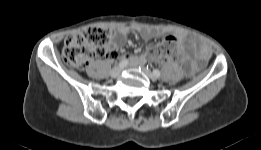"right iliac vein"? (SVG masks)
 <instances>
[{"instance_id":"63e3f726","label":"right iliac vein","mask_w":261,"mask_h":150,"mask_svg":"<svg viewBox=\"0 0 261 150\" xmlns=\"http://www.w3.org/2000/svg\"><path fill=\"white\" fill-rule=\"evenodd\" d=\"M121 71H122L121 67H114L111 70L110 75L112 78H117L120 75Z\"/></svg>"}]
</instances>
